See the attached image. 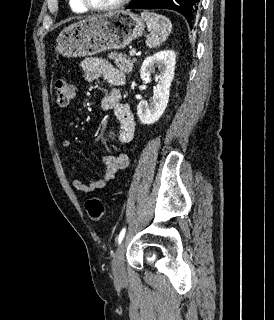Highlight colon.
<instances>
[{
    "label": "colon",
    "instance_id": "5ec220e1",
    "mask_svg": "<svg viewBox=\"0 0 274 320\" xmlns=\"http://www.w3.org/2000/svg\"><path fill=\"white\" fill-rule=\"evenodd\" d=\"M54 96L58 107L65 108L69 105L74 96L73 85L64 79H57L54 82ZM85 210L89 218L95 222L103 220L105 205L98 198H89L85 202Z\"/></svg>",
    "mask_w": 274,
    "mask_h": 320
}]
</instances>
